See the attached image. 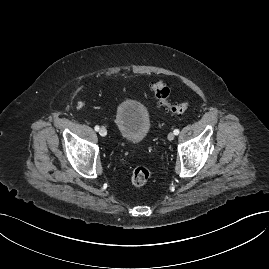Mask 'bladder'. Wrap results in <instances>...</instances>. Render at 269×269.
I'll return each instance as SVG.
<instances>
[{
	"label": "bladder",
	"mask_w": 269,
	"mask_h": 269,
	"mask_svg": "<svg viewBox=\"0 0 269 269\" xmlns=\"http://www.w3.org/2000/svg\"><path fill=\"white\" fill-rule=\"evenodd\" d=\"M115 125L119 136L124 141L141 142L150 129L148 111L137 100L124 98L117 105Z\"/></svg>",
	"instance_id": "1"
}]
</instances>
